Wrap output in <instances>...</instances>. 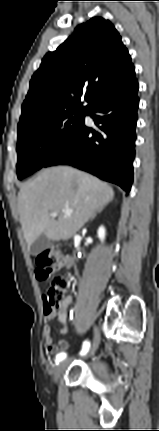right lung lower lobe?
I'll return each mask as SVG.
<instances>
[{"label":"right lung lower lobe","mask_w":159,"mask_h":431,"mask_svg":"<svg viewBox=\"0 0 159 431\" xmlns=\"http://www.w3.org/2000/svg\"><path fill=\"white\" fill-rule=\"evenodd\" d=\"M137 92L138 82L134 78L97 102L87 112L97 127L89 128L83 122L44 167L71 165L115 183L128 193L133 182Z\"/></svg>","instance_id":"1"}]
</instances>
